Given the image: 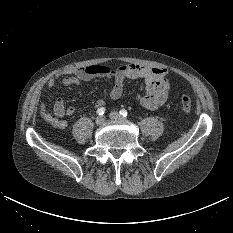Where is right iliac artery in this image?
Masks as SVG:
<instances>
[{
    "label": "right iliac artery",
    "instance_id": "obj_1",
    "mask_svg": "<svg viewBox=\"0 0 233 233\" xmlns=\"http://www.w3.org/2000/svg\"><path fill=\"white\" fill-rule=\"evenodd\" d=\"M96 113L98 114V115H103L104 113H105V108H98L97 109V111H96Z\"/></svg>",
    "mask_w": 233,
    "mask_h": 233
}]
</instances>
